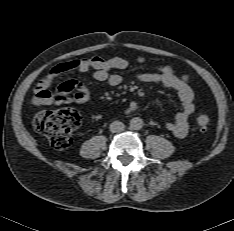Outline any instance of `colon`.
I'll return each mask as SVG.
<instances>
[{"mask_svg": "<svg viewBox=\"0 0 234 231\" xmlns=\"http://www.w3.org/2000/svg\"><path fill=\"white\" fill-rule=\"evenodd\" d=\"M75 63L62 66L63 70H70ZM79 113L71 108L57 110H43L38 112L33 121L34 128L40 134L46 136L55 149H66L72 143V132L80 124ZM196 127L199 131L205 132L212 121L207 111L199 110L195 115Z\"/></svg>", "mask_w": 234, "mask_h": 231, "instance_id": "1", "label": "colon"}]
</instances>
